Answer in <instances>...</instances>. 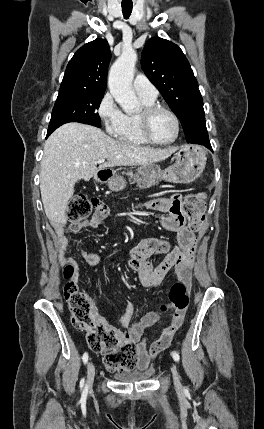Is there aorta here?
Segmentation results:
<instances>
[{
	"label": "aorta",
	"instance_id": "762f6f07",
	"mask_svg": "<svg viewBox=\"0 0 264 429\" xmlns=\"http://www.w3.org/2000/svg\"><path fill=\"white\" fill-rule=\"evenodd\" d=\"M136 61V52L133 49H125L109 72L110 93L126 113L134 112L138 106L137 97L132 90Z\"/></svg>",
	"mask_w": 264,
	"mask_h": 429
}]
</instances>
